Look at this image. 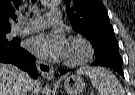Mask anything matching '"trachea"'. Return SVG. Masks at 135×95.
Here are the masks:
<instances>
[{"mask_svg":"<svg viewBox=\"0 0 135 95\" xmlns=\"http://www.w3.org/2000/svg\"><path fill=\"white\" fill-rule=\"evenodd\" d=\"M36 2V0H32V3H35Z\"/></svg>","mask_w":135,"mask_h":95,"instance_id":"trachea-1","label":"trachea"}]
</instances>
